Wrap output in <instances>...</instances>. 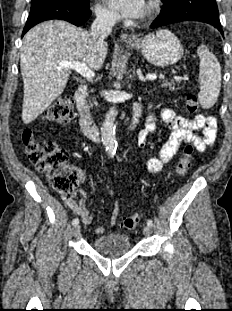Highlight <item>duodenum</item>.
<instances>
[{
	"label": "duodenum",
	"mask_w": 232,
	"mask_h": 311,
	"mask_svg": "<svg viewBox=\"0 0 232 311\" xmlns=\"http://www.w3.org/2000/svg\"><path fill=\"white\" fill-rule=\"evenodd\" d=\"M87 86L85 84H80L77 86L74 92V99L76 102V107L79 114V124L83 133L95 140H98V128L95 121L85 103V97L87 94ZM141 116V105L139 103L135 104L134 114L129 123L127 124L125 131L131 132L139 122Z\"/></svg>",
	"instance_id": "410a0bca"
}]
</instances>
